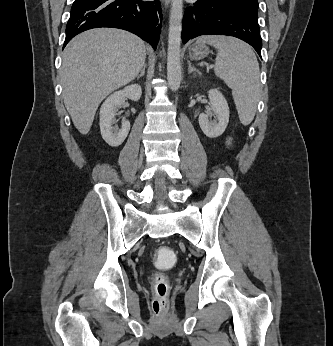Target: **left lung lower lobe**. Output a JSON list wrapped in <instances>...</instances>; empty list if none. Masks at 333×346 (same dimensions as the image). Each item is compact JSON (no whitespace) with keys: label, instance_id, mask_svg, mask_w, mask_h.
<instances>
[{"label":"left lung lower lobe","instance_id":"1","mask_svg":"<svg viewBox=\"0 0 333 346\" xmlns=\"http://www.w3.org/2000/svg\"><path fill=\"white\" fill-rule=\"evenodd\" d=\"M200 35H227L250 44L261 57L262 40L258 17L234 9L224 0H198L186 9L182 23V41Z\"/></svg>","mask_w":333,"mask_h":346}]
</instances>
